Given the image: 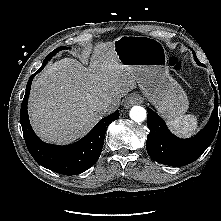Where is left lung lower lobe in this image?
Masks as SVG:
<instances>
[{"mask_svg":"<svg viewBox=\"0 0 221 221\" xmlns=\"http://www.w3.org/2000/svg\"><path fill=\"white\" fill-rule=\"evenodd\" d=\"M197 64L202 65L198 60ZM215 107L208 124L197 135L189 139H180L173 135L167 128L163 119L152 109L147 108V126L150 129L146 142L149 156L155 161L170 165L184 166L198 159L212 143L217 130H221V117H218V96L216 88ZM220 104L221 91L219 89Z\"/></svg>","mask_w":221,"mask_h":221,"instance_id":"left-lung-lower-lobe-1","label":"left lung lower lobe"}]
</instances>
